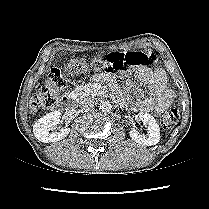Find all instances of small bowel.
<instances>
[{
	"label": "small bowel",
	"mask_w": 209,
	"mask_h": 209,
	"mask_svg": "<svg viewBox=\"0 0 209 209\" xmlns=\"http://www.w3.org/2000/svg\"><path fill=\"white\" fill-rule=\"evenodd\" d=\"M140 81L146 85L149 96L136 100L132 103V108L137 112L162 113L168 109L175 99V94L167 87V78L160 68L151 69L146 65H140L137 70ZM99 79L113 85L114 95L120 100H125V94L115 85V78L110 74L98 76Z\"/></svg>",
	"instance_id": "c3829d8e"
}]
</instances>
